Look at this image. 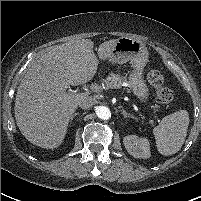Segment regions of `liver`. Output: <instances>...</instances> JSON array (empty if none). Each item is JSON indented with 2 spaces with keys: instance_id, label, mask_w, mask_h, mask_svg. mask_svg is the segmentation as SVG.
I'll use <instances>...</instances> for the list:
<instances>
[{
  "instance_id": "6515ba94",
  "label": "liver",
  "mask_w": 201,
  "mask_h": 201,
  "mask_svg": "<svg viewBox=\"0 0 201 201\" xmlns=\"http://www.w3.org/2000/svg\"><path fill=\"white\" fill-rule=\"evenodd\" d=\"M100 44L98 57L109 58L118 43ZM94 43L81 39L57 45L32 64L17 89L15 118L22 134L31 143L53 149L64 140L68 123L78 101L89 93L66 92L72 86L90 81L98 66Z\"/></svg>"
}]
</instances>
